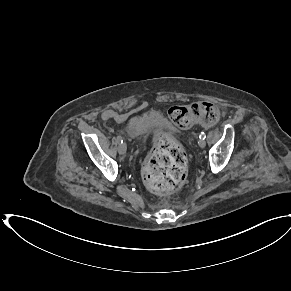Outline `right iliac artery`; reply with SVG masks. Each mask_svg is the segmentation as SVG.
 Here are the masks:
<instances>
[{"mask_svg": "<svg viewBox=\"0 0 291 291\" xmlns=\"http://www.w3.org/2000/svg\"><path fill=\"white\" fill-rule=\"evenodd\" d=\"M117 142L118 143H123L122 137L121 136H117Z\"/></svg>", "mask_w": 291, "mask_h": 291, "instance_id": "1", "label": "right iliac artery"}]
</instances>
